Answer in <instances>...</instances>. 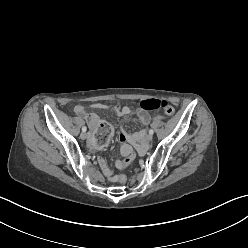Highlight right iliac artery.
I'll return each mask as SVG.
<instances>
[{
    "instance_id": "1",
    "label": "right iliac artery",
    "mask_w": 248,
    "mask_h": 248,
    "mask_svg": "<svg viewBox=\"0 0 248 248\" xmlns=\"http://www.w3.org/2000/svg\"><path fill=\"white\" fill-rule=\"evenodd\" d=\"M86 130H87V128H86V126H84V127L82 128V131H83V132H86Z\"/></svg>"
}]
</instances>
